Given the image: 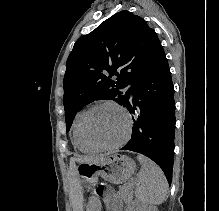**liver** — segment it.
Masks as SVG:
<instances>
[{"instance_id": "obj_1", "label": "liver", "mask_w": 219, "mask_h": 211, "mask_svg": "<svg viewBox=\"0 0 219 211\" xmlns=\"http://www.w3.org/2000/svg\"><path fill=\"white\" fill-rule=\"evenodd\" d=\"M84 159H90V161H93V159H97V157H84ZM75 161H80L79 157H71V167H75ZM76 183V181H75ZM76 187V185H74ZM77 191V189H76ZM82 201H83V195L81 191H77V193H73L72 195V203H73V209L74 211H82ZM78 203L80 207H78Z\"/></svg>"}]
</instances>
